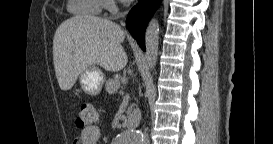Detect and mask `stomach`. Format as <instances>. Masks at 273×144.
I'll list each match as a JSON object with an SVG mask.
<instances>
[{"label":"stomach","mask_w":273,"mask_h":144,"mask_svg":"<svg viewBox=\"0 0 273 144\" xmlns=\"http://www.w3.org/2000/svg\"><path fill=\"white\" fill-rule=\"evenodd\" d=\"M79 82L84 92L98 95L105 82V75L97 66L91 65L80 74Z\"/></svg>","instance_id":"obj_1"}]
</instances>
